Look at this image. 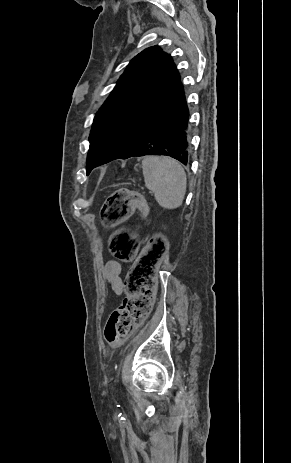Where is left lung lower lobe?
<instances>
[{"instance_id": "left-lung-lower-lobe-1", "label": "left lung lower lobe", "mask_w": 291, "mask_h": 463, "mask_svg": "<svg viewBox=\"0 0 291 463\" xmlns=\"http://www.w3.org/2000/svg\"><path fill=\"white\" fill-rule=\"evenodd\" d=\"M188 116L183 92L173 109L147 132L139 144L123 156L96 162L87 174L93 168L115 159L147 155L170 156L187 165L189 162Z\"/></svg>"}]
</instances>
